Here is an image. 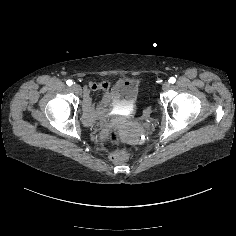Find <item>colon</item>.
<instances>
[{"label": "colon", "mask_w": 236, "mask_h": 236, "mask_svg": "<svg viewBox=\"0 0 236 236\" xmlns=\"http://www.w3.org/2000/svg\"><path fill=\"white\" fill-rule=\"evenodd\" d=\"M108 139L119 148L112 153L111 160L116 164H123L129 157L127 148L122 145L120 128L117 125L112 126L108 131Z\"/></svg>", "instance_id": "1"}]
</instances>
